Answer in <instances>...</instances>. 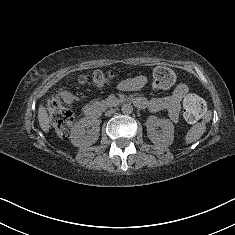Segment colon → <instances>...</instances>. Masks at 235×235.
I'll return each instance as SVG.
<instances>
[{
	"label": "colon",
	"mask_w": 235,
	"mask_h": 235,
	"mask_svg": "<svg viewBox=\"0 0 235 235\" xmlns=\"http://www.w3.org/2000/svg\"><path fill=\"white\" fill-rule=\"evenodd\" d=\"M114 79L112 72L104 73L95 71L91 76H82V84L103 87ZM176 81L175 73L164 66L157 67L152 74V87L155 90H164L170 88ZM47 108L53 127L57 135L62 139H68L73 127V113L62 105L59 99L51 98L48 101ZM205 112L204 101L195 94H189L183 102V115L188 122L198 121Z\"/></svg>",
	"instance_id": "5ec220e1"
}]
</instances>
